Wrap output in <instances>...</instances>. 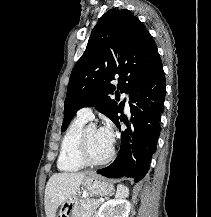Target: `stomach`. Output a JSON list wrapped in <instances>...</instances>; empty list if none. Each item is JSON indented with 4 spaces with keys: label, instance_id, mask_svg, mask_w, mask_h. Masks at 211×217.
<instances>
[{
    "label": "stomach",
    "instance_id": "stomach-1",
    "mask_svg": "<svg viewBox=\"0 0 211 217\" xmlns=\"http://www.w3.org/2000/svg\"><path fill=\"white\" fill-rule=\"evenodd\" d=\"M82 184L90 195L106 196L111 194L114 190L110 182L94 173L88 174V176L83 179ZM79 209L80 200L75 193L62 204L57 217H80Z\"/></svg>",
    "mask_w": 211,
    "mask_h": 217
}]
</instances>
